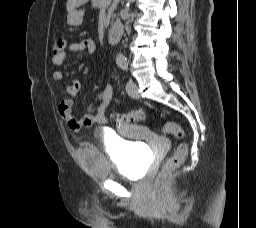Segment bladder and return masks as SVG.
I'll return each instance as SVG.
<instances>
[{"label": "bladder", "mask_w": 256, "mask_h": 228, "mask_svg": "<svg viewBox=\"0 0 256 228\" xmlns=\"http://www.w3.org/2000/svg\"><path fill=\"white\" fill-rule=\"evenodd\" d=\"M81 157L87 170L103 178L139 179L147 166L145 150L138 143L126 140H113L111 155L88 142L82 147Z\"/></svg>", "instance_id": "31cf9c89"}]
</instances>
